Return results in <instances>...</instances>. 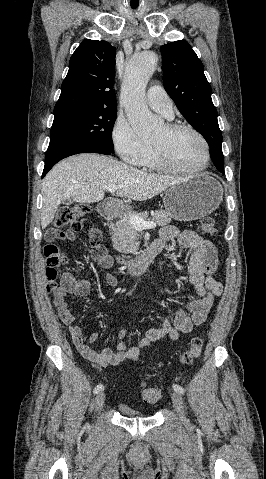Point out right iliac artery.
<instances>
[{
    "instance_id": "right-iliac-artery-1",
    "label": "right iliac artery",
    "mask_w": 266,
    "mask_h": 479,
    "mask_svg": "<svg viewBox=\"0 0 266 479\" xmlns=\"http://www.w3.org/2000/svg\"><path fill=\"white\" fill-rule=\"evenodd\" d=\"M104 388V386L102 384H98L95 388H94V394H97L99 393L100 391H102Z\"/></svg>"
}]
</instances>
